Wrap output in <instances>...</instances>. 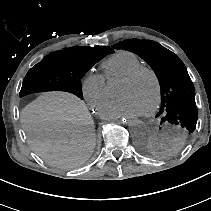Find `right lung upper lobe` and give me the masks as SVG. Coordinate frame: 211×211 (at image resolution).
I'll return each instance as SVG.
<instances>
[{
	"mask_svg": "<svg viewBox=\"0 0 211 211\" xmlns=\"http://www.w3.org/2000/svg\"><path fill=\"white\" fill-rule=\"evenodd\" d=\"M82 50L90 51V52H103L105 54L113 53L114 50L107 46H95V47H78Z\"/></svg>",
	"mask_w": 211,
	"mask_h": 211,
	"instance_id": "1",
	"label": "right lung upper lobe"
}]
</instances>
